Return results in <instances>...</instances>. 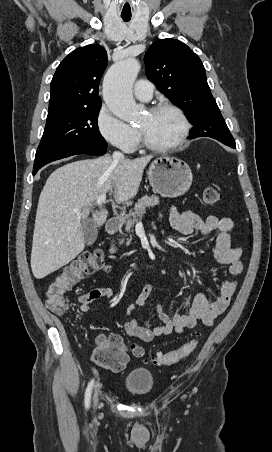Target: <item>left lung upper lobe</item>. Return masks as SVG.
Returning <instances> with one entry per match:
<instances>
[{"instance_id":"left-lung-upper-lobe-1","label":"left lung upper lobe","mask_w":272,"mask_h":452,"mask_svg":"<svg viewBox=\"0 0 272 452\" xmlns=\"http://www.w3.org/2000/svg\"><path fill=\"white\" fill-rule=\"evenodd\" d=\"M144 62L147 77L194 125L190 135L226 138L234 147V138L210 92L205 68L187 45L176 39H158L147 50Z\"/></svg>"}]
</instances>
